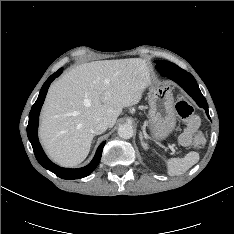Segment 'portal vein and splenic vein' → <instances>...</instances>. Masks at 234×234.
I'll list each match as a JSON object with an SVG mask.
<instances>
[{
	"label": "portal vein and splenic vein",
	"mask_w": 234,
	"mask_h": 234,
	"mask_svg": "<svg viewBox=\"0 0 234 234\" xmlns=\"http://www.w3.org/2000/svg\"><path fill=\"white\" fill-rule=\"evenodd\" d=\"M168 147L170 148V150L172 151L173 154L176 153V150H175L173 144H168Z\"/></svg>",
	"instance_id": "1"
}]
</instances>
